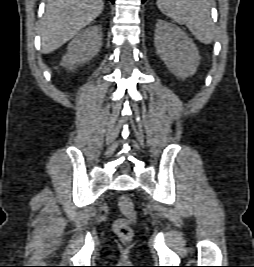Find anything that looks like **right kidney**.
Returning a JSON list of instances; mask_svg holds the SVG:
<instances>
[{
  "mask_svg": "<svg viewBox=\"0 0 254 267\" xmlns=\"http://www.w3.org/2000/svg\"><path fill=\"white\" fill-rule=\"evenodd\" d=\"M102 35V28L97 25L79 33L68 45L67 54L63 56L61 65L73 70L75 64L90 61L101 49Z\"/></svg>",
  "mask_w": 254,
  "mask_h": 267,
  "instance_id": "1",
  "label": "right kidney"
}]
</instances>
